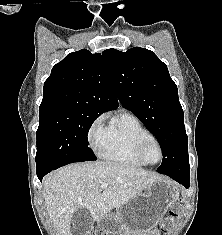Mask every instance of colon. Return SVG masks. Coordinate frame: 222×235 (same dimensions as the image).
I'll return each instance as SVG.
<instances>
[{
  "label": "colon",
  "instance_id": "5ec220e1",
  "mask_svg": "<svg viewBox=\"0 0 222 235\" xmlns=\"http://www.w3.org/2000/svg\"><path fill=\"white\" fill-rule=\"evenodd\" d=\"M177 215V210L174 209L171 213V217L166 219L164 222H163V229H167L170 224H171V221L172 219ZM87 235H105V233L103 232H99V231H90Z\"/></svg>",
  "mask_w": 222,
  "mask_h": 235
}]
</instances>
